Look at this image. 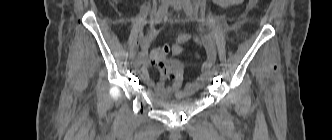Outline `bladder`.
<instances>
[{
	"instance_id": "31cf9c89",
	"label": "bladder",
	"mask_w": 332,
	"mask_h": 140,
	"mask_svg": "<svg viewBox=\"0 0 332 140\" xmlns=\"http://www.w3.org/2000/svg\"><path fill=\"white\" fill-rule=\"evenodd\" d=\"M195 95L196 92H193L183 96L182 98H177L174 100H166L154 95H150L149 98L154 104L162 108L180 110L185 109L191 105L195 101Z\"/></svg>"
}]
</instances>
